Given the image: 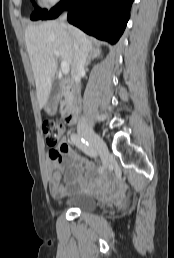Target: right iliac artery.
I'll return each mask as SVG.
<instances>
[{
    "label": "right iliac artery",
    "instance_id": "obj_1",
    "mask_svg": "<svg viewBox=\"0 0 174 258\" xmlns=\"http://www.w3.org/2000/svg\"><path fill=\"white\" fill-rule=\"evenodd\" d=\"M71 140L86 155H88L90 157L97 156V152L94 150V148L87 141H85L83 138H81L79 135L73 133L71 135ZM103 171H104V168L102 166H100L98 168V172L103 173Z\"/></svg>",
    "mask_w": 174,
    "mask_h": 258
}]
</instances>
